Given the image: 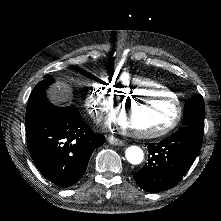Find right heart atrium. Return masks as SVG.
I'll use <instances>...</instances> for the list:
<instances>
[{"label": "right heart atrium", "instance_id": "obj_1", "mask_svg": "<svg viewBox=\"0 0 221 221\" xmlns=\"http://www.w3.org/2000/svg\"><path fill=\"white\" fill-rule=\"evenodd\" d=\"M111 81H102L95 83L87 95L88 106L94 109H103L109 107L114 98L112 95Z\"/></svg>", "mask_w": 221, "mask_h": 221}]
</instances>
